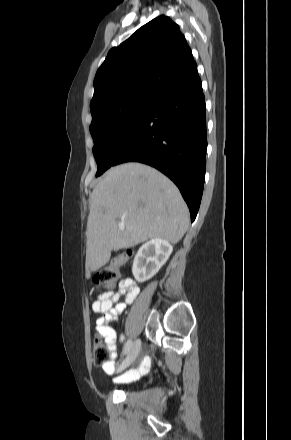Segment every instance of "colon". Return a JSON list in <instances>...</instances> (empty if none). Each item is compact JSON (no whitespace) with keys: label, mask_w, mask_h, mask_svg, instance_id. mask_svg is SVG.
<instances>
[{"label":"colon","mask_w":291,"mask_h":440,"mask_svg":"<svg viewBox=\"0 0 291 440\" xmlns=\"http://www.w3.org/2000/svg\"><path fill=\"white\" fill-rule=\"evenodd\" d=\"M125 263L123 257L115 258L110 264L99 269L93 276V283L111 288L121 276V267ZM111 358L109 347L100 340H95L92 347V361L94 364H104Z\"/></svg>","instance_id":"colon-1"}]
</instances>
